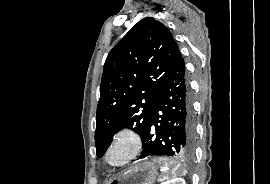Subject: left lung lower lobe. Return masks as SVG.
<instances>
[{
    "label": "left lung lower lobe",
    "instance_id": "left-lung-lower-lobe-1",
    "mask_svg": "<svg viewBox=\"0 0 270 184\" xmlns=\"http://www.w3.org/2000/svg\"><path fill=\"white\" fill-rule=\"evenodd\" d=\"M142 143L139 158L175 156L186 161L193 158L195 125L182 56L157 95Z\"/></svg>",
    "mask_w": 270,
    "mask_h": 184
}]
</instances>
